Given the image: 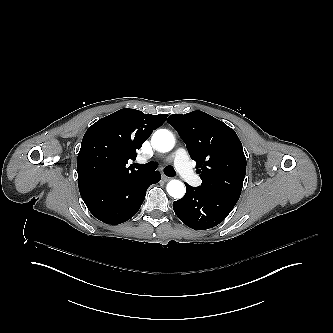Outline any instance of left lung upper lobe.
<instances>
[{
	"mask_svg": "<svg viewBox=\"0 0 333 333\" xmlns=\"http://www.w3.org/2000/svg\"><path fill=\"white\" fill-rule=\"evenodd\" d=\"M167 122L178 131L196 161L201 187L240 196L246 158L235 131L202 111L171 115Z\"/></svg>",
	"mask_w": 333,
	"mask_h": 333,
	"instance_id": "left-lung-upper-lobe-1",
	"label": "left lung upper lobe"
}]
</instances>
